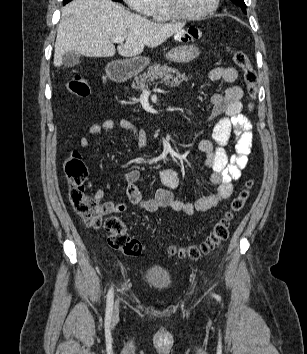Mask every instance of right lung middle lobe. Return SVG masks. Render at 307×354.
Instances as JSON below:
<instances>
[{
	"mask_svg": "<svg viewBox=\"0 0 307 354\" xmlns=\"http://www.w3.org/2000/svg\"><path fill=\"white\" fill-rule=\"evenodd\" d=\"M71 0H63L64 3H68L70 2ZM113 1H116V2H121L122 0H113Z\"/></svg>",
	"mask_w": 307,
	"mask_h": 354,
	"instance_id": "dd1d6c3e",
	"label": "right lung middle lobe"
}]
</instances>
